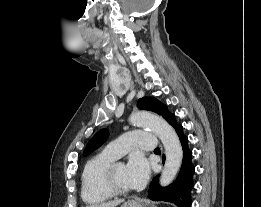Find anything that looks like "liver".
<instances>
[{
	"label": "liver",
	"instance_id": "liver-1",
	"mask_svg": "<svg viewBox=\"0 0 261 207\" xmlns=\"http://www.w3.org/2000/svg\"><path fill=\"white\" fill-rule=\"evenodd\" d=\"M123 201L124 200H113V201L104 202V203H101V204L88 205L86 207H116L117 205H119Z\"/></svg>",
	"mask_w": 261,
	"mask_h": 207
}]
</instances>
